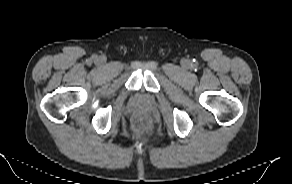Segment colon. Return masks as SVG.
Returning <instances> with one entry per match:
<instances>
[{
	"mask_svg": "<svg viewBox=\"0 0 292 184\" xmlns=\"http://www.w3.org/2000/svg\"><path fill=\"white\" fill-rule=\"evenodd\" d=\"M133 127L137 131H142V130L148 129V125L145 124L143 121H139V120L134 122Z\"/></svg>",
	"mask_w": 292,
	"mask_h": 184,
	"instance_id": "1",
	"label": "colon"
}]
</instances>
